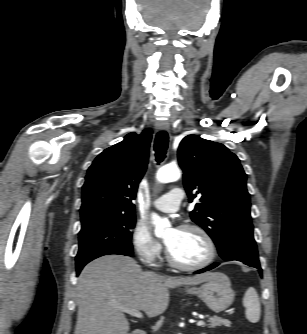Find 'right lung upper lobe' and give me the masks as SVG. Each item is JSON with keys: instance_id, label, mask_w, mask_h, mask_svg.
Listing matches in <instances>:
<instances>
[{"instance_id": "1", "label": "right lung upper lobe", "mask_w": 307, "mask_h": 334, "mask_svg": "<svg viewBox=\"0 0 307 334\" xmlns=\"http://www.w3.org/2000/svg\"><path fill=\"white\" fill-rule=\"evenodd\" d=\"M151 130L132 132L104 150L89 167L82 187L81 217L92 214L135 215L132 201L148 163Z\"/></svg>"}]
</instances>
